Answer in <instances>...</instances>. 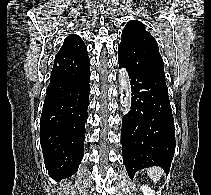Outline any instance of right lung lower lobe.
Listing matches in <instances>:
<instances>
[{
	"label": "right lung lower lobe",
	"mask_w": 211,
	"mask_h": 195,
	"mask_svg": "<svg viewBox=\"0 0 211 195\" xmlns=\"http://www.w3.org/2000/svg\"><path fill=\"white\" fill-rule=\"evenodd\" d=\"M90 63L51 78L40 119V143L45 167L58 180L72 176L83 158L89 105Z\"/></svg>",
	"instance_id": "98d812e1"
}]
</instances>
